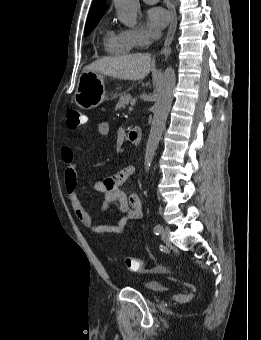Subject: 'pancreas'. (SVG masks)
<instances>
[{"instance_id":"cf45deb5","label":"pancreas","mask_w":261,"mask_h":340,"mask_svg":"<svg viewBox=\"0 0 261 340\" xmlns=\"http://www.w3.org/2000/svg\"><path fill=\"white\" fill-rule=\"evenodd\" d=\"M132 96L126 92L119 95V101L115 107L116 110L124 109L131 101Z\"/></svg>"}]
</instances>
